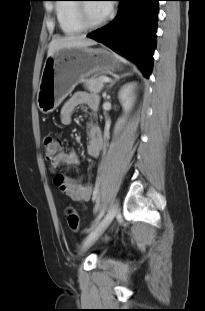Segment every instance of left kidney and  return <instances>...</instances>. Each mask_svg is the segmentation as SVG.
<instances>
[{
  "label": "left kidney",
  "mask_w": 205,
  "mask_h": 311,
  "mask_svg": "<svg viewBox=\"0 0 205 311\" xmlns=\"http://www.w3.org/2000/svg\"><path fill=\"white\" fill-rule=\"evenodd\" d=\"M135 84L130 83L125 85L119 92V100L122 104V107L125 110H128L132 103V90L134 88Z\"/></svg>",
  "instance_id": "left-kidney-1"
}]
</instances>
